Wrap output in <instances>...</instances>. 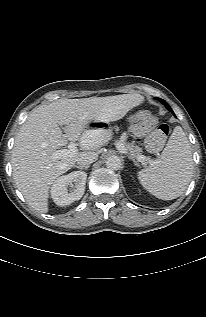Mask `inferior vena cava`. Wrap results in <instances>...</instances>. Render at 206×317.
<instances>
[{"label": "inferior vena cava", "mask_w": 206, "mask_h": 317, "mask_svg": "<svg viewBox=\"0 0 206 317\" xmlns=\"http://www.w3.org/2000/svg\"><path fill=\"white\" fill-rule=\"evenodd\" d=\"M98 159V155L95 152H85L82 153L78 159L77 164L80 167H85L87 165H90L91 163L95 162Z\"/></svg>", "instance_id": "obj_1"}]
</instances>
